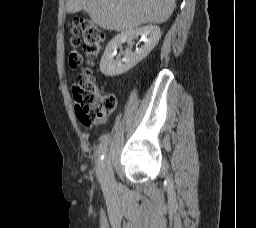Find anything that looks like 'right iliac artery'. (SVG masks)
Instances as JSON below:
<instances>
[{
  "label": "right iliac artery",
  "mask_w": 256,
  "mask_h": 228,
  "mask_svg": "<svg viewBox=\"0 0 256 228\" xmlns=\"http://www.w3.org/2000/svg\"><path fill=\"white\" fill-rule=\"evenodd\" d=\"M109 140H110V137L106 136L105 139L101 140L102 144L99 147V152H98V162H99V164H98V175H99L100 179L102 177L101 173H102V169L104 167V161L103 160H104V154L106 152V144L108 143Z\"/></svg>",
  "instance_id": "right-iliac-artery-1"
}]
</instances>
